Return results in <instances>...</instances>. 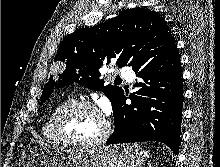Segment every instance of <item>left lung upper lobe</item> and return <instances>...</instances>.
Listing matches in <instances>:
<instances>
[{
    "mask_svg": "<svg viewBox=\"0 0 220 167\" xmlns=\"http://www.w3.org/2000/svg\"><path fill=\"white\" fill-rule=\"evenodd\" d=\"M174 48V35L157 12L123 10L98 26L78 29L63 39L54 61L65 62L66 69L58 81L49 79L41 104L55 89L78 83L102 91L114 106L124 91L118 86H104L98 79L103 62L108 64L116 58L119 67L128 65L134 70L161 59Z\"/></svg>",
    "mask_w": 220,
    "mask_h": 167,
    "instance_id": "5c2ea615",
    "label": "left lung upper lobe"
}]
</instances>
